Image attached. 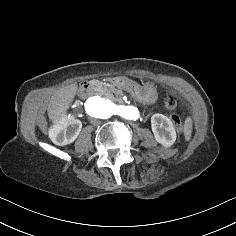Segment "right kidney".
Segmentation results:
<instances>
[{
  "instance_id": "obj_1",
  "label": "right kidney",
  "mask_w": 236,
  "mask_h": 236,
  "mask_svg": "<svg viewBox=\"0 0 236 236\" xmlns=\"http://www.w3.org/2000/svg\"><path fill=\"white\" fill-rule=\"evenodd\" d=\"M81 129L82 123L80 120L64 121L62 118L54 122V125L48 131V135L55 145L65 146L76 140Z\"/></svg>"
}]
</instances>
